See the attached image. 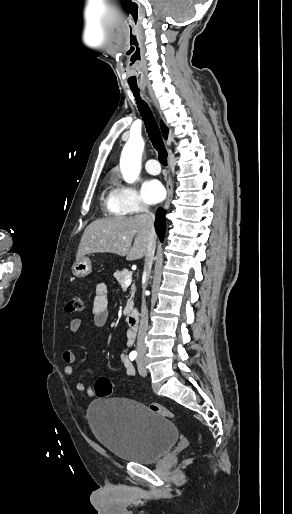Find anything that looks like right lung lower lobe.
Segmentation results:
<instances>
[{
    "instance_id": "right-lung-lower-lobe-1",
    "label": "right lung lower lobe",
    "mask_w": 292,
    "mask_h": 514,
    "mask_svg": "<svg viewBox=\"0 0 292 514\" xmlns=\"http://www.w3.org/2000/svg\"><path fill=\"white\" fill-rule=\"evenodd\" d=\"M165 212L163 208H159L156 212L155 219V229L161 241H163L164 238Z\"/></svg>"
}]
</instances>
